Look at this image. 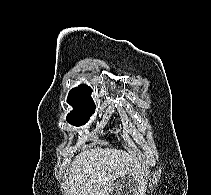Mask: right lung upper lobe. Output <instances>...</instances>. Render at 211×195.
I'll use <instances>...</instances> for the list:
<instances>
[{"label":"right lung upper lobe","mask_w":211,"mask_h":195,"mask_svg":"<svg viewBox=\"0 0 211 195\" xmlns=\"http://www.w3.org/2000/svg\"><path fill=\"white\" fill-rule=\"evenodd\" d=\"M91 92L92 89L87 85H80L69 92L67 102L70 104H94Z\"/></svg>","instance_id":"1"}]
</instances>
